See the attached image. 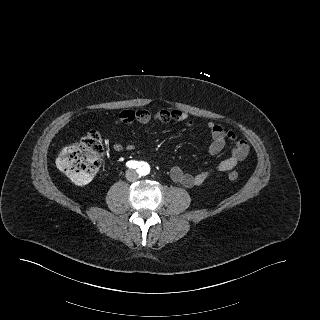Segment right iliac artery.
I'll return each mask as SVG.
<instances>
[{"instance_id":"obj_1","label":"right iliac artery","mask_w":320,"mask_h":320,"mask_svg":"<svg viewBox=\"0 0 320 320\" xmlns=\"http://www.w3.org/2000/svg\"><path fill=\"white\" fill-rule=\"evenodd\" d=\"M126 166L129 168L135 169L137 167H140V164L137 161L130 160V161L126 162Z\"/></svg>"}]
</instances>
